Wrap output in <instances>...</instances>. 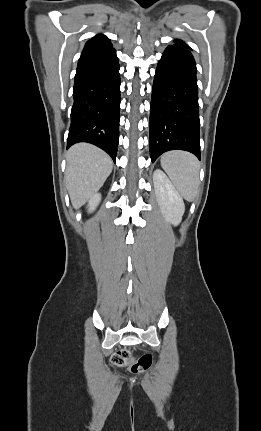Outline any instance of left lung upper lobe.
<instances>
[{
  "mask_svg": "<svg viewBox=\"0 0 261 431\" xmlns=\"http://www.w3.org/2000/svg\"><path fill=\"white\" fill-rule=\"evenodd\" d=\"M175 45L184 47V48H189L182 40H175Z\"/></svg>",
  "mask_w": 261,
  "mask_h": 431,
  "instance_id": "1",
  "label": "left lung upper lobe"
}]
</instances>
